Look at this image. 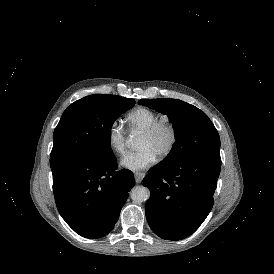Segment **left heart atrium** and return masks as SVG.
Masks as SVG:
<instances>
[{
	"label": "left heart atrium",
	"mask_w": 274,
	"mask_h": 274,
	"mask_svg": "<svg viewBox=\"0 0 274 274\" xmlns=\"http://www.w3.org/2000/svg\"><path fill=\"white\" fill-rule=\"evenodd\" d=\"M156 158L148 148L142 147L125 153L120 158V166L131 171H141L150 167Z\"/></svg>",
	"instance_id": "left-heart-atrium-1"
}]
</instances>
